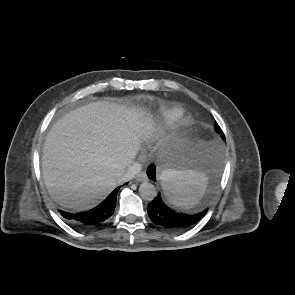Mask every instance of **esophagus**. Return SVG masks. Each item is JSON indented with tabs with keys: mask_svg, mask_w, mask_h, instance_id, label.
Returning a JSON list of instances; mask_svg holds the SVG:
<instances>
[{
	"mask_svg": "<svg viewBox=\"0 0 295 295\" xmlns=\"http://www.w3.org/2000/svg\"><path fill=\"white\" fill-rule=\"evenodd\" d=\"M146 180H148V177L145 172H141L136 176V181H138V182L146 181Z\"/></svg>",
	"mask_w": 295,
	"mask_h": 295,
	"instance_id": "34e87169",
	"label": "esophagus"
}]
</instances>
